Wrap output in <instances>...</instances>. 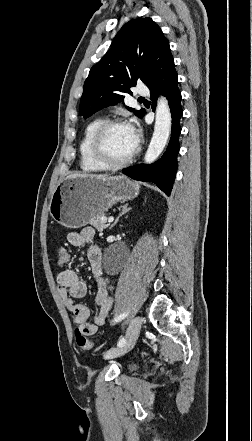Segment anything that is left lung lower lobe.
<instances>
[{"mask_svg": "<svg viewBox=\"0 0 252 441\" xmlns=\"http://www.w3.org/2000/svg\"><path fill=\"white\" fill-rule=\"evenodd\" d=\"M147 87L150 89L153 106L156 103L158 94L166 96L169 102L172 117L171 138L164 155L156 163L131 166L124 169L123 173L135 180L153 182L169 196L177 170L179 135L181 133L179 122L183 114L180 103L181 93L178 89V76L169 44L162 50L157 69Z\"/></svg>", "mask_w": 252, "mask_h": 441, "instance_id": "0a47b994", "label": "left lung lower lobe"}]
</instances>
